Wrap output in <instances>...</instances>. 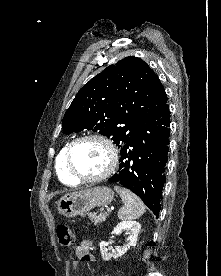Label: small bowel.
<instances>
[{"mask_svg": "<svg viewBox=\"0 0 221 276\" xmlns=\"http://www.w3.org/2000/svg\"><path fill=\"white\" fill-rule=\"evenodd\" d=\"M92 243L89 240L82 241L75 247V259L71 262L72 269L77 270L78 263L81 261L95 262L94 256L90 253Z\"/></svg>", "mask_w": 221, "mask_h": 276, "instance_id": "c3829d8e", "label": "small bowel"}]
</instances>
